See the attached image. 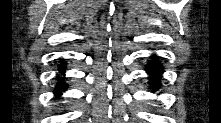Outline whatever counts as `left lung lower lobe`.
I'll list each match as a JSON object with an SVG mask.
<instances>
[{
	"label": "left lung lower lobe",
	"mask_w": 221,
	"mask_h": 123,
	"mask_svg": "<svg viewBox=\"0 0 221 123\" xmlns=\"http://www.w3.org/2000/svg\"><path fill=\"white\" fill-rule=\"evenodd\" d=\"M146 71L150 76V88L155 92L160 88L161 75L164 71L158 57H152L146 66Z\"/></svg>",
	"instance_id": "0a47b994"
}]
</instances>
